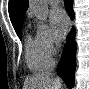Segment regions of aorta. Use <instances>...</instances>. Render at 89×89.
I'll return each instance as SVG.
<instances>
[{"instance_id":"1","label":"aorta","mask_w":89,"mask_h":89,"mask_svg":"<svg viewBox=\"0 0 89 89\" xmlns=\"http://www.w3.org/2000/svg\"><path fill=\"white\" fill-rule=\"evenodd\" d=\"M30 6L36 17L45 21L48 16L47 0H30Z\"/></svg>"}]
</instances>
